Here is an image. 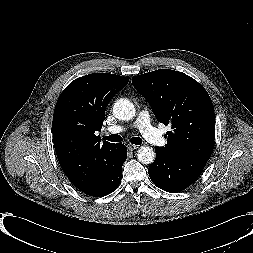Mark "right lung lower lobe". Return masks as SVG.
I'll return each instance as SVG.
<instances>
[{
    "mask_svg": "<svg viewBox=\"0 0 253 253\" xmlns=\"http://www.w3.org/2000/svg\"><path fill=\"white\" fill-rule=\"evenodd\" d=\"M127 157V148L124 144H117L115 157L107 170L89 187L81 191L93 197L109 194L121 182L122 165Z\"/></svg>",
    "mask_w": 253,
    "mask_h": 253,
    "instance_id": "1",
    "label": "right lung lower lobe"
}]
</instances>
